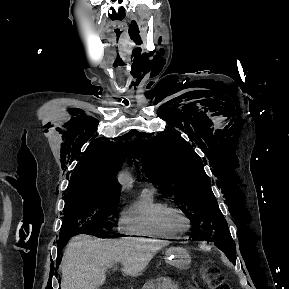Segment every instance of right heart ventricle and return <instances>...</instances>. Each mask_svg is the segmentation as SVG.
<instances>
[{
    "label": "right heart ventricle",
    "instance_id": "obj_1",
    "mask_svg": "<svg viewBox=\"0 0 289 289\" xmlns=\"http://www.w3.org/2000/svg\"><path fill=\"white\" fill-rule=\"evenodd\" d=\"M166 204L154 189H143L138 199L121 212V230L128 235L154 238H174L161 225L158 215Z\"/></svg>",
    "mask_w": 289,
    "mask_h": 289
}]
</instances>
